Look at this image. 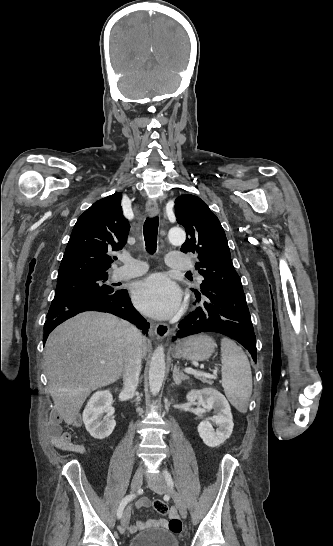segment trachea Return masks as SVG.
I'll return each instance as SVG.
<instances>
[{"mask_svg": "<svg viewBox=\"0 0 333 546\" xmlns=\"http://www.w3.org/2000/svg\"><path fill=\"white\" fill-rule=\"evenodd\" d=\"M158 217H148L144 223L143 233L146 250L150 254H154L157 248V234H158Z\"/></svg>", "mask_w": 333, "mask_h": 546, "instance_id": "obj_1", "label": "trachea"}]
</instances>
